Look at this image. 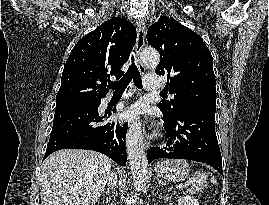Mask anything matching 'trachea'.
Returning <instances> with one entry per match:
<instances>
[{"label":"trachea","instance_id":"obj_1","mask_svg":"<svg viewBox=\"0 0 269 205\" xmlns=\"http://www.w3.org/2000/svg\"><path fill=\"white\" fill-rule=\"evenodd\" d=\"M132 80L137 88H143L141 75L137 66L135 65L133 55L131 57V65L125 75L119 81L109 83L108 87L114 89L115 93L124 92ZM160 94L166 95L164 92H161Z\"/></svg>","mask_w":269,"mask_h":205}]
</instances>
